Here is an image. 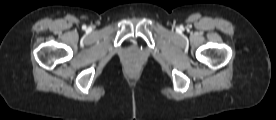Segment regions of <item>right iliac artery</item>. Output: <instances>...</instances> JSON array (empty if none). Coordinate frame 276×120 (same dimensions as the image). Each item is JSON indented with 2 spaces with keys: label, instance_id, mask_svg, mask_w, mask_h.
I'll return each instance as SVG.
<instances>
[{
  "label": "right iliac artery",
  "instance_id": "82829eb1",
  "mask_svg": "<svg viewBox=\"0 0 276 120\" xmlns=\"http://www.w3.org/2000/svg\"><path fill=\"white\" fill-rule=\"evenodd\" d=\"M86 28V26H83V29H85Z\"/></svg>",
  "mask_w": 276,
  "mask_h": 120
}]
</instances>
